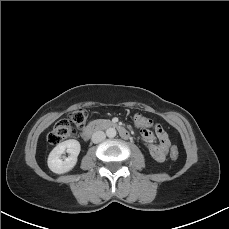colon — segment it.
<instances>
[{
    "mask_svg": "<svg viewBox=\"0 0 229 229\" xmlns=\"http://www.w3.org/2000/svg\"><path fill=\"white\" fill-rule=\"evenodd\" d=\"M87 112L83 109H78L70 112L68 120H61L55 124L48 136L49 143L56 145L66 139L73 138L76 135L75 127H82L86 121ZM136 124L140 127L144 125V120L141 116L135 117ZM179 157V150L176 146L170 149V158L177 160Z\"/></svg>",
    "mask_w": 229,
    "mask_h": 229,
    "instance_id": "obj_1",
    "label": "colon"
}]
</instances>
